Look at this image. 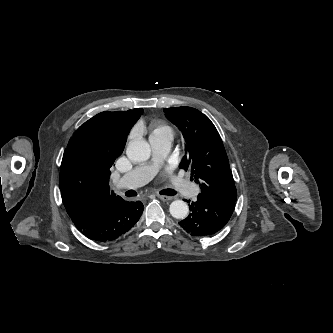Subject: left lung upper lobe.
<instances>
[{
	"label": "left lung upper lobe",
	"mask_w": 333,
	"mask_h": 333,
	"mask_svg": "<svg viewBox=\"0 0 333 333\" xmlns=\"http://www.w3.org/2000/svg\"><path fill=\"white\" fill-rule=\"evenodd\" d=\"M166 117L184 136L186 155L180 168L190 171L202 195L220 202H235L237 191L221 137L211 120L191 107L164 109Z\"/></svg>",
	"instance_id": "left-lung-upper-lobe-1"
}]
</instances>
